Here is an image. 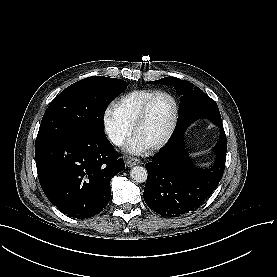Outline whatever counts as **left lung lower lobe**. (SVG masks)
I'll list each match as a JSON object with an SVG mask.
<instances>
[{
	"mask_svg": "<svg viewBox=\"0 0 277 277\" xmlns=\"http://www.w3.org/2000/svg\"><path fill=\"white\" fill-rule=\"evenodd\" d=\"M212 168L201 170L187 164L183 135L166 144L146 163L148 172L143 192L144 201L156 213L177 217L199 207L215 190L222 178L227 151V139L222 129Z\"/></svg>",
	"mask_w": 277,
	"mask_h": 277,
	"instance_id": "obj_1",
	"label": "left lung lower lobe"
}]
</instances>
